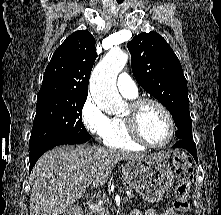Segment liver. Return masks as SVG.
<instances>
[{
  "label": "liver",
  "instance_id": "obj_1",
  "mask_svg": "<svg viewBox=\"0 0 221 215\" xmlns=\"http://www.w3.org/2000/svg\"><path fill=\"white\" fill-rule=\"evenodd\" d=\"M146 155L123 150L78 145L46 152L31 174L30 215H63L89 184L104 185L119 161Z\"/></svg>",
  "mask_w": 221,
  "mask_h": 215
}]
</instances>
